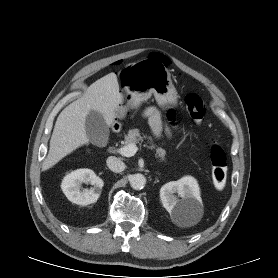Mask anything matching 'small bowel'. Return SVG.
Listing matches in <instances>:
<instances>
[{
  "instance_id": "1",
  "label": "small bowel",
  "mask_w": 278,
  "mask_h": 278,
  "mask_svg": "<svg viewBox=\"0 0 278 278\" xmlns=\"http://www.w3.org/2000/svg\"><path fill=\"white\" fill-rule=\"evenodd\" d=\"M144 116L148 119L153 132L159 135L161 131V119L158 110L153 107L147 108L144 111Z\"/></svg>"
}]
</instances>
